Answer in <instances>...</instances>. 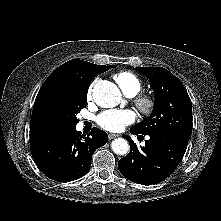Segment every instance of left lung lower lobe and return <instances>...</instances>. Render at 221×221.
Returning a JSON list of instances; mask_svg holds the SVG:
<instances>
[{"label":"left lung lower lobe","instance_id":"obj_1","mask_svg":"<svg viewBox=\"0 0 221 221\" xmlns=\"http://www.w3.org/2000/svg\"><path fill=\"white\" fill-rule=\"evenodd\" d=\"M131 134L139 133L130 129ZM142 136V135H139ZM130 152L118 162V169L127 179L143 185L156 184L168 177L178 166L188 142L164 134H149V140L141 149L130 139Z\"/></svg>","mask_w":221,"mask_h":221}]
</instances>
